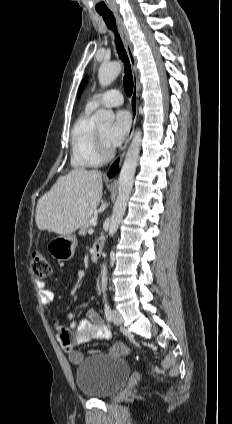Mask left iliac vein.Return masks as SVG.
<instances>
[{
  "label": "left iliac vein",
  "mask_w": 232,
  "mask_h": 424,
  "mask_svg": "<svg viewBox=\"0 0 232 424\" xmlns=\"http://www.w3.org/2000/svg\"><path fill=\"white\" fill-rule=\"evenodd\" d=\"M112 321L115 325H121L123 323V317L119 311L117 310L112 311Z\"/></svg>",
  "instance_id": "left-iliac-vein-1"
}]
</instances>
